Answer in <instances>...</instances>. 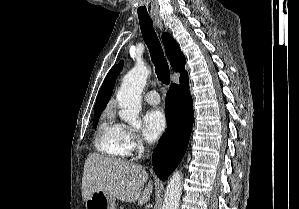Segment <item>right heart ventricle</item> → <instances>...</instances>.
<instances>
[{
  "label": "right heart ventricle",
  "instance_id": "1",
  "mask_svg": "<svg viewBox=\"0 0 299 209\" xmlns=\"http://www.w3.org/2000/svg\"><path fill=\"white\" fill-rule=\"evenodd\" d=\"M95 147L106 155L114 157L127 155L121 140L119 124L111 122L109 118L103 119L96 134Z\"/></svg>",
  "mask_w": 299,
  "mask_h": 209
}]
</instances>
